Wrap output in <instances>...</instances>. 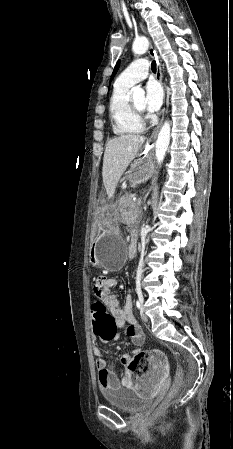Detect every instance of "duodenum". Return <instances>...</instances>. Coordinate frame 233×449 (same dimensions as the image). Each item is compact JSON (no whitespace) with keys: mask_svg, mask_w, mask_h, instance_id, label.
Listing matches in <instances>:
<instances>
[{"mask_svg":"<svg viewBox=\"0 0 233 449\" xmlns=\"http://www.w3.org/2000/svg\"><path fill=\"white\" fill-rule=\"evenodd\" d=\"M135 247H136V243H135V235H134L132 237L130 248H129L131 254L134 253Z\"/></svg>","mask_w":233,"mask_h":449,"instance_id":"duodenum-1","label":"duodenum"}]
</instances>
